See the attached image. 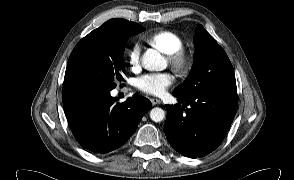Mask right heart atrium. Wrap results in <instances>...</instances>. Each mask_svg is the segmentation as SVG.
Instances as JSON below:
<instances>
[{
    "label": "right heart atrium",
    "mask_w": 294,
    "mask_h": 180,
    "mask_svg": "<svg viewBox=\"0 0 294 180\" xmlns=\"http://www.w3.org/2000/svg\"><path fill=\"white\" fill-rule=\"evenodd\" d=\"M140 53L141 48L138 43L133 44L127 50V62L131 70H138L140 67Z\"/></svg>",
    "instance_id": "obj_1"
}]
</instances>
